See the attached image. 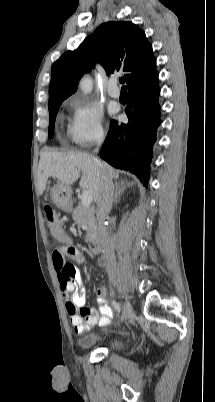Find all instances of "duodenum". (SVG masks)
Returning a JSON list of instances; mask_svg holds the SVG:
<instances>
[{
	"mask_svg": "<svg viewBox=\"0 0 215 402\" xmlns=\"http://www.w3.org/2000/svg\"><path fill=\"white\" fill-rule=\"evenodd\" d=\"M103 249V241L101 238H94L89 243V250L94 253L98 254Z\"/></svg>",
	"mask_w": 215,
	"mask_h": 402,
	"instance_id": "obj_1",
	"label": "duodenum"
}]
</instances>
